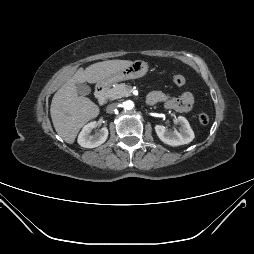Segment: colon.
I'll list each match as a JSON object with an SVG mask.
<instances>
[{
  "label": "colon",
  "instance_id": "5ec220e1",
  "mask_svg": "<svg viewBox=\"0 0 254 254\" xmlns=\"http://www.w3.org/2000/svg\"><path fill=\"white\" fill-rule=\"evenodd\" d=\"M172 80L176 85L179 86H182L187 82V78L183 74H174ZM198 119L201 124H207L209 122V116L206 113H200L198 115Z\"/></svg>",
  "mask_w": 254,
  "mask_h": 254
}]
</instances>
